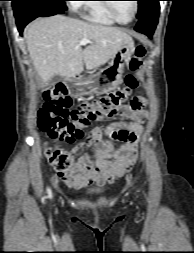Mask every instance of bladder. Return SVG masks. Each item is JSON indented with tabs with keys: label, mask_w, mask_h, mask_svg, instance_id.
Here are the masks:
<instances>
[{
	"label": "bladder",
	"mask_w": 194,
	"mask_h": 253,
	"mask_svg": "<svg viewBox=\"0 0 194 253\" xmlns=\"http://www.w3.org/2000/svg\"><path fill=\"white\" fill-rule=\"evenodd\" d=\"M106 194H107L106 189L102 187L91 188L85 192V195L88 197H102L105 196Z\"/></svg>",
	"instance_id": "bladder-1"
}]
</instances>
